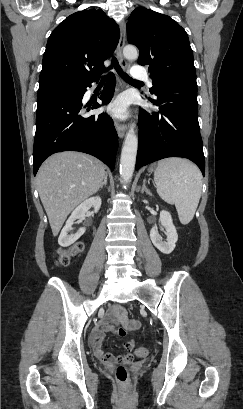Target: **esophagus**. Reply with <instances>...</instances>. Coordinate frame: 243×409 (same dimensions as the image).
<instances>
[{"label": "esophagus", "mask_w": 243, "mask_h": 409, "mask_svg": "<svg viewBox=\"0 0 243 409\" xmlns=\"http://www.w3.org/2000/svg\"><path fill=\"white\" fill-rule=\"evenodd\" d=\"M125 39H126V28H125V22L121 21L120 23V38H119V43L117 46V54H118V59H119V63L120 66L123 69H126L127 67V62L125 60V58L123 57V48L125 45ZM118 86L119 88H123L124 87V82L122 79L118 80ZM115 128L117 131V134L120 138H123L126 132V125L123 123L118 122L117 120L115 121Z\"/></svg>", "instance_id": "1"}]
</instances>
